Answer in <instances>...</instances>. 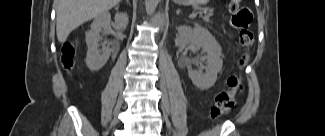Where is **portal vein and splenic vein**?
I'll return each mask as SVG.
<instances>
[{
    "label": "portal vein and splenic vein",
    "instance_id": "1",
    "mask_svg": "<svg viewBox=\"0 0 325 136\" xmlns=\"http://www.w3.org/2000/svg\"><path fill=\"white\" fill-rule=\"evenodd\" d=\"M196 15H197V13H192V14H190V18H193V17H196Z\"/></svg>",
    "mask_w": 325,
    "mask_h": 136
}]
</instances>
